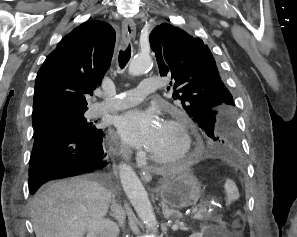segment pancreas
Returning a JSON list of instances; mask_svg holds the SVG:
<instances>
[{"label": "pancreas", "instance_id": "obj_1", "mask_svg": "<svg viewBox=\"0 0 297 237\" xmlns=\"http://www.w3.org/2000/svg\"><path fill=\"white\" fill-rule=\"evenodd\" d=\"M215 215V212H209L206 207H200L193 216L196 220H210Z\"/></svg>", "mask_w": 297, "mask_h": 237}]
</instances>
